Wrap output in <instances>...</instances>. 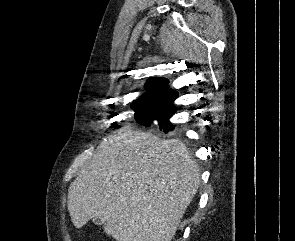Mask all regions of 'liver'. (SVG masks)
<instances>
[{
	"mask_svg": "<svg viewBox=\"0 0 295 241\" xmlns=\"http://www.w3.org/2000/svg\"><path fill=\"white\" fill-rule=\"evenodd\" d=\"M199 183L182 142L122 129L70 184L68 211L76 228L101 219L116 241H171Z\"/></svg>",
	"mask_w": 295,
	"mask_h": 241,
	"instance_id": "1",
	"label": "liver"
}]
</instances>
